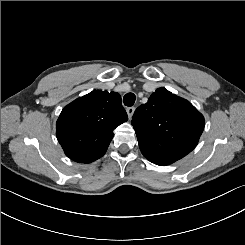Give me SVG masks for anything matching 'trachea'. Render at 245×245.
Segmentation results:
<instances>
[{
  "label": "trachea",
  "instance_id": "1",
  "mask_svg": "<svg viewBox=\"0 0 245 245\" xmlns=\"http://www.w3.org/2000/svg\"><path fill=\"white\" fill-rule=\"evenodd\" d=\"M135 99H136V97L133 93H127L123 98V103L126 106H132L135 102Z\"/></svg>",
  "mask_w": 245,
  "mask_h": 245
}]
</instances>
